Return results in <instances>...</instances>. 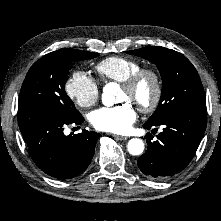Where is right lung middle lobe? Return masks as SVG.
I'll list each match as a JSON object with an SVG mask.
<instances>
[{"instance_id":"1","label":"right lung middle lobe","mask_w":221,"mask_h":221,"mask_svg":"<svg viewBox=\"0 0 221 221\" xmlns=\"http://www.w3.org/2000/svg\"><path fill=\"white\" fill-rule=\"evenodd\" d=\"M98 55L75 49H60L40 58L32 65L22 84L18 110L42 107L67 118L80 116L64 89L67 76L73 61L92 59Z\"/></svg>"}]
</instances>
